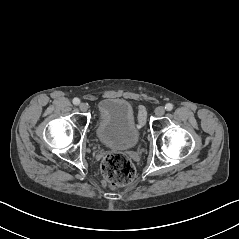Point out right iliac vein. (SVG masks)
Listing matches in <instances>:
<instances>
[{"label": "right iliac vein", "instance_id": "obj_1", "mask_svg": "<svg viewBox=\"0 0 239 239\" xmlns=\"http://www.w3.org/2000/svg\"><path fill=\"white\" fill-rule=\"evenodd\" d=\"M79 109L82 111V112H86L88 110V105L86 103H81L79 105Z\"/></svg>", "mask_w": 239, "mask_h": 239}]
</instances>
